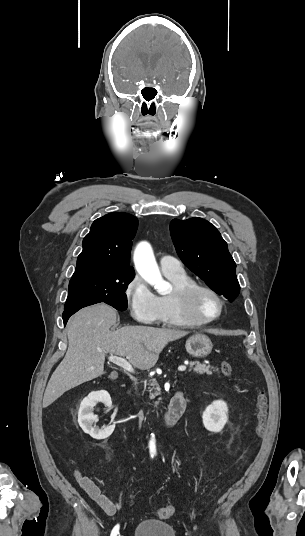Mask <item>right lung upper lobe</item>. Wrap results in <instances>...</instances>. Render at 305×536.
<instances>
[{"instance_id":"1","label":"right lung upper lobe","mask_w":305,"mask_h":536,"mask_svg":"<svg viewBox=\"0 0 305 536\" xmlns=\"http://www.w3.org/2000/svg\"><path fill=\"white\" fill-rule=\"evenodd\" d=\"M137 226V218L128 213L114 212L96 219L83 240V251L72 277L135 274L129 264Z\"/></svg>"}]
</instances>
